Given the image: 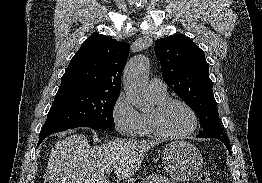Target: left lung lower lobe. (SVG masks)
Returning <instances> with one entry per match:
<instances>
[{
	"label": "left lung lower lobe",
	"mask_w": 262,
	"mask_h": 183,
	"mask_svg": "<svg viewBox=\"0 0 262 183\" xmlns=\"http://www.w3.org/2000/svg\"><path fill=\"white\" fill-rule=\"evenodd\" d=\"M216 139H219L220 141H222L226 145L229 153L231 154L229 139L227 137H225V138H216Z\"/></svg>",
	"instance_id": "1"
}]
</instances>
